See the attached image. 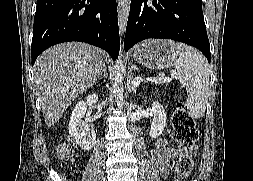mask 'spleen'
<instances>
[{"instance_id":"obj_1","label":"spleen","mask_w":253,"mask_h":181,"mask_svg":"<svg viewBox=\"0 0 253 181\" xmlns=\"http://www.w3.org/2000/svg\"><path fill=\"white\" fill-rule=\"evenodd\" d=\"M175 48L177 58L172 63L176 76L186 85L187 110L191 117L201 118L206 111L210 88V70L205 57L195 48L170 41Z\"/></svg>"}]
</instances>
